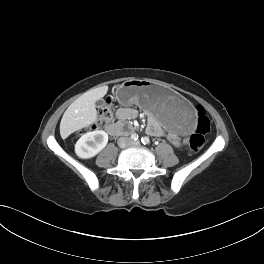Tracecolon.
Returning <instances> with one entry per match:
<instances>
[{"label": "colon", "mask_w": 264, "mask_h": 264, "mask_svg": "<svg viewBox=\"0 0 264 264\" xmlns=\"http://www.w3.org/2000/svg\"><path fill=\"white\" fill-rule=\"evenodd\" d=\"M114 104L112 98H107L98 110V116L94 126L96 128L105 127L113 117ZM197 122L194 133L190 137V147L193 151L201 150L206 142L211 123L203 107L198 106L197 109Z\"/></svg>", "instance_id": "1"}]
</instances>
